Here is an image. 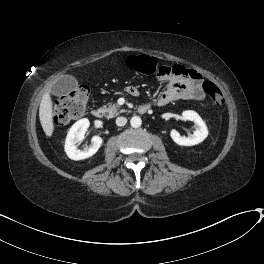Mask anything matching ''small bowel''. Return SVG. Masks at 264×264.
<instances>
[{
  "mask_svg": "<svg viewBox=\"0 0 264 264\" xmlns=\"http://www.w3.org/2000/svg\"><path fill=\"white\" fill-rule=\"evenodd\" d=\"M167 84V89L158 97L156 104L164 106L180 99L203 100L205 95L202 88V78L192 70H185L178 66L172 68L170 75L160 78ZM138 91L135 86H129L126 92L132 96Z\"/></svg>",
  "mask_w": 264,
  "mask_h": 264,
  "instance_id": "obj_1",
  "label": "small bowel"
}]
</instances>
